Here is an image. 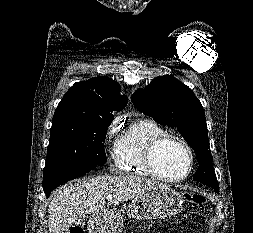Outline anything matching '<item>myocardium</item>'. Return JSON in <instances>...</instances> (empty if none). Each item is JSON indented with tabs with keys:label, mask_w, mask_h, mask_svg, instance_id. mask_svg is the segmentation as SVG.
Masks as SVG:
<instances>
[{
	"label": "myocardium",
	"mask_w": 253,
	"mask_h": 233,
	"mask_svg": "<svg viewBox=\"0 0 253 233\" xmlns=\"http://www.w3.org/2000/svg\"><path fill=\"white\" fill-rule=\"evenodd\" d=\"M167 143L178 144L181 147H183L188 153L189 161H190L189 168L187 172L182 176H179V177L164 176L163 174L160 173V171L158 170L156 166V162H155L156 154L158 150ZM144 162H145L146 167L148 168V170L152 173L154 177L165 182H180V181L185 180L191 175L194 169V165H195V155H194L193 149L185 140L174 135L165 134L163 136L157 137L153 139L152 141H150L145 151Z\"/></svg>",
	"instance_id": "myocardium-1"
}]
</instances>
